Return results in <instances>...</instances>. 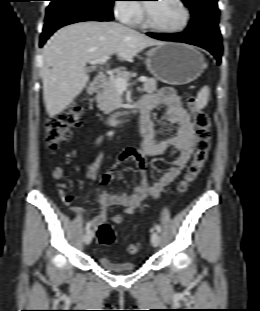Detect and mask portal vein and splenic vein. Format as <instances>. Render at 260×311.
<instances>
[{
	"mask_svg": "<svg viewBox=\"0 0 260 311\" xmlns=\"http://www.w3.org/2000/svg\"><path fill=\"white\" fill-rule=\"evenodd\" d=\"M109 59V56H104L100 59L97 60H93V61H89L90 64H101V65H105L107 60ZM138 81L140 82H146L147 78L144 76H141L138 78ZM115 84L116 87L118 88L119 91H123L126 90L127 87L130 85L126 80L122 79V78H117L115 80Z\"/></svg>",
	"mask_w": 260,
	"mask_h": 311,
	"instance_id": "portal-vein-and-splenic-vein-1",
	"label": "portal vein and splenic vein"
}]
</instances>
